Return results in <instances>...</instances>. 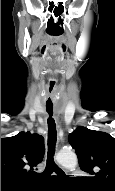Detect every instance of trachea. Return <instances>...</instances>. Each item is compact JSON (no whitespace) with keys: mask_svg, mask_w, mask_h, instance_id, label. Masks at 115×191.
I'll return each mask as SVG.
<instances>
[{"mask_svg":"<svg viewBox=\"0 0 115 191\" xmlns=\"http://www.w3.org/2000/svg\"><path fill=\"white\" fill-rule=\"evenodd\" d=\"M47 113L49 114L48 118V153H47V163L43 175L51 174L55 171L58 175L64 174V172L55 164L54 162V153L56 145V124L53 115V108H46Z\"/></svg>","mask_w":115,"mask_h":191,"instance_id":"trachea-1","label":"trachea"}]
</instances>
